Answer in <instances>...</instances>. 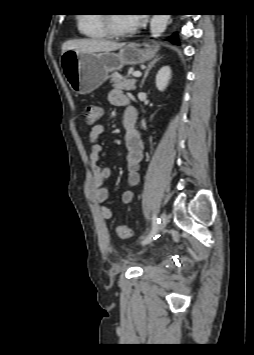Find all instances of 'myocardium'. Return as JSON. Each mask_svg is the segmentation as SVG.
I'll use <instances>...</instances> for the list:
<instances>
[{
  "label": "myocardium",
  "instance_id": "1",
  "mask_svg": "<svg viewBox=\"0 0 254 355\" xmlns=\"http://www.w3.org/2000/svg\"><path fill=\"white\" fill-rule=\"evenodd\" d=\"M103 24L106 33L114 38L128 37L136 32L135 28L129 30L116 29L113 25V16L111 13H103Z\"/></svg>",
  "mask_w": 254,
  "mask_h": 355
}]
</instances>
